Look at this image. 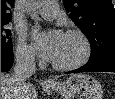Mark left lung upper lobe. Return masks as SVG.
Here are the masks:
<instances>
[{
  "label": "left lung upper lobe",
  "instance_id": "obj_1",
  "mask_svg": "<svg viewBox=\"0 0 115 99\" xmlns=\"http://www.w3.org/2000/svg\"><path fill=\"white\" fill-rule=\"evenodd\" d=\"M70 18L91 44L88 62L115 56V9L111 0H63Z\"/></svg>",
  "mask_w": 115,
  "mask_h": 99
}]
</instances>
